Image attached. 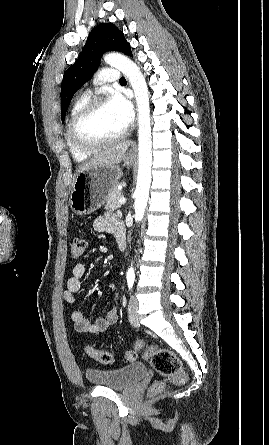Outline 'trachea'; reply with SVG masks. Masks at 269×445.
<instances>
[{"instance_id":"3493384b","label":"trachea","mask_w":269,"mask_h":445,"mask_svg":"<svg viewBox=\"0 0 269 445\" xmlns=\"http://www.w3.org/2000/svg\"><path fill=\"white\" fill-rule=\"evenodd\" d=\"M119 82H126V79L124 77H121Z\"/></svg>"}]
</instances>
